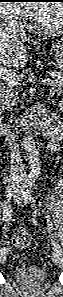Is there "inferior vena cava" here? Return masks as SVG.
Returning <instances> with one entry per match:
<instances>
[{"mask_svg": "<svg viewBox=\"0 0 63 297\" xmlns=\"http://www.w3.org/2000/svg\"><path fill=\"white\" fill-rule=\"evenodd\" d=\"M5 21L8 24H2V27H1L2 32L4 30H6V31L9 30L10 32H13L14 34H17V35H20V36H24V32L22 30H20L21 28L19 29V25H18V23H17L16 20L8 19V21L7 20H5ZM11 138L13 140L12 142L14 143L13 149H11V151L13 152L12 156H14L15 155V152L18 151V145L15 143V136H14L13 133L11 135Z\"/></svg>", "mask_w": 63, "mask_h": 297, "instance_id": "obj_1", "label": "inferior vena cava"}]
</instances>
